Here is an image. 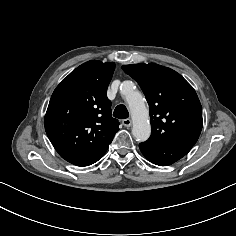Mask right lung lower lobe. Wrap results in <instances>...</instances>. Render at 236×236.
I'll list each match as a JSON object with an SVG mask.
<instances>
[{
  "instance_id": "obj_1",
  "label": "right lung lower lobe",
  "mask_w": 236,
  "mask_h": 236,
  "mask_svg": "<svg viewBox=\"0 0 236 236\" xmlns=\"http://www.w3.org/2000/svg\"><path fill=\"white\" fill-rule=\"evenodd\" d=\"M105 152L101 155L93 156V157L68 155V154H63V155H61V157L76 166H89V165L97 162L99 159H101L103 157V155L105 154Z\"/></svg>"
}]
</instances>
